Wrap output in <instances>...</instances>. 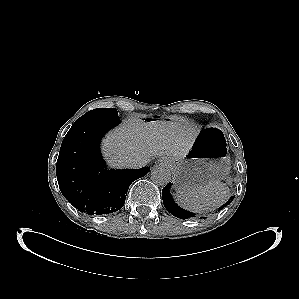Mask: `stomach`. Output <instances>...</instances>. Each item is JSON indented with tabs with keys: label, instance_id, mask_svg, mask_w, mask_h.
<instances>
[{
	"label": "stomach",
	"instance_id": "stomach-1",
	"mask_svg": "<svg viewBox=\"0 0 299 299\" xmlns=\"http://www.w3.org/2000/svg\"><path fill=\"white\" fill-rule=\"evenodd\" d=\"M180 186L203 187L221 181L230 171V157L221 130L209 126L198 133L188 153L182 158H167Z\"/></svg>",
	"mask_w": 299,
	"mask_h": 299
}]
</instances>
